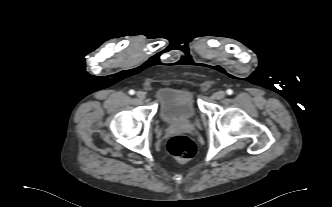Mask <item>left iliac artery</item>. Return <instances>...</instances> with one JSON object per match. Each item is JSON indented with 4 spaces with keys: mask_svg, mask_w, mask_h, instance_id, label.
Listing matches in <instances>:
<instances>
[{
    "mask_svg": "<svg viewBox=\"0 0 332 207\" xmlns=\"http://www.w3.org/2000/svg\"><path fill=\"white\" fill-rule=\"evenodd\" d=\"M226 93H227L228 95H232V94H233V90H232V89H228V90L226 91Z\"/></svg>",
    "mask_w": 332,
    "mask_h": 207,
    "instance_id": "44dca946",
    "label": "left iliac artery"
}]
</instances>
